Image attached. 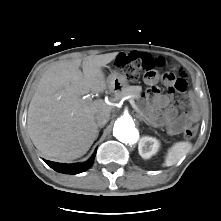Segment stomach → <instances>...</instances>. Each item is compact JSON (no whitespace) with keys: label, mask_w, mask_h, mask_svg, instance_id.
Returning a JSON list of instances; mask_svg holds the SVG:
<instances>
[{"label":"stomach","mask_w":221,"mask_h":221,"mask_svg":"<svg viewBox=\"0 0 221 221\" xmlns=\"http://www.w3.org/2000/svg\"><path fill=\"white\" fill-rule=\"evenodd\" d=\"M107 83L109 90L112 92H116L117 94L120 93V90H123L125 87L128 86L126 77L119 72L112 73L108 77Z\"/></svg>","instance_id":"obj_1"}]
</instances>
